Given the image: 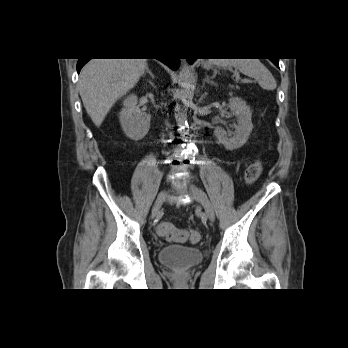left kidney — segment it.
<instances>
[{
    "label": "left kidney",
    "mask_w": 348,
    "mask_h": 348,
    "mask_svg": "<svg viewBox=\"0 0 348 348\" xmlns=\"http://www.w3.org/2000/svg\"><path fill=\"white\" fill-rule=\"evenodd\" d=\"M228 107L231 113L237 117V125L234 126L233 136L227 135L220 127L215 128L214 135L227 150H234L242 147L249 138L253 129L252 113L246 102L239 97H232L229 100Z\"/></svg>",
    "instance_id": "left-kidney-1"
}]
</instances>
